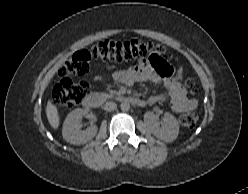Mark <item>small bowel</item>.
I'll return each instance as SVG.
<instances>
[{
  "label": "small bowel",
  "instance_id": "obj_1",
  "mask_svg": "<svg viewBox=\"0 0 248 194\" xmlns=\"http://www.w3.org/2000/svg\"><path fill=\"white\" fill-rule=\"evenodd\" d=\"M120 74H122V77H119ZM117 76L122 83L127 85L135 82H150L162 85L165 93L151 96L148 100L149 104L168 100L172 109L177 113L189 112L197 107V100L187 96L181 76L173 75L166 61L157 67L150 58L142 60L137 66L120 71Z\"/></svg>",
  "mask_w": 248,
  "mask_h": 194
}]
</instances>
